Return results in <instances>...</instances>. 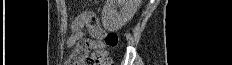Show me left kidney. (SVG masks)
I'll return each instance as SVG.
<instances>
[{
	"mask_svg": "<svg viewBox=\"0 0 232 65\" xmlns=\"http://www.w3.org/2000/svg\"><path fill=\"white\" fill-rule=\"evenodd\" d=\"M140 0H107L102 10V24L108 31H116L129 21L139 6ZM119 5L120 11L115 9Z\"/></svg>",
	"mask_w": 232,
	"mask_h": 65,
	"instance_id": "left-kidney-1",
	"label": "left kidney"
}]
</instances>
